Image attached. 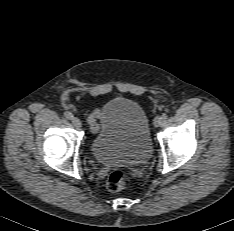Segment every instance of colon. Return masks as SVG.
Returning a JSON list of instances; mask_svg holds the SVG:
<instances>
[{
	"label": "colon",
	"instance_id": "colon-1",
	"mask_svg": "<svg viewBox=\"0 0 234 231\" xmlns=\"http://www.w3.org/2000/svg\"><path fill=\"white\" fill-rule=\"evenodd\" d=\"M128 175L121 169L111 171L106 179V186L112 192L121 191L128 183Z\"/></svg>",
	"mask_w": 234,
	"mask_h": 231
}]
</instances>
